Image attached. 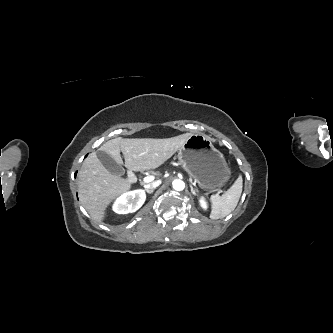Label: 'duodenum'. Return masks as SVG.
Listing matches in <instances>:
<instances>
[{"label": "duodenum", "mask_w": 333, "mask_h": 333, "mask_svg": "<svg viewBox=\"0 0 333 333\" xmlns=\"http://www.w3.org/2000/svg\"><path fill=\"white\" fill-rule=\"evenodd\" d=\"M134 178H135V173L132 172V171H130L129 174H128V179H129V181H133Z\"/></svg>", "instance_id": "obj_1"}]
</instances>
